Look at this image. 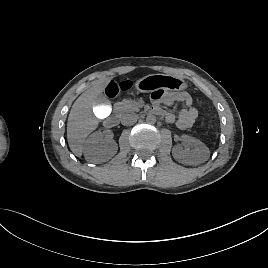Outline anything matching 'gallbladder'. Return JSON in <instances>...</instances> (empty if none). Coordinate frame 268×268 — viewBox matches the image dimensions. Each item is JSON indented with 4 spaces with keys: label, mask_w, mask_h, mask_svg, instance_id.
I'll return each mask as SVG.
<instances>
[{
    "label": "gallbladder",
    "mask_w": 268,
    "mask_h": 268,
    "mask_svg": "<svg viewBox=\"0 0 268 268\" xmlns=\"http://www.w3.org/2000/svg\"><path fill=\"white\" fill-rule=\"evenodd\" d=\"M112 109L109 101L102 97L99 100H96L92 105V114L97 119H106L111 115Z\"/></svg>",
    "instance_id": "bac80fb5"
}]
</instances>
